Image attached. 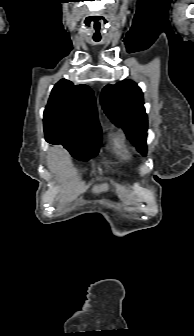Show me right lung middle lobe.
<instances>
[{"instance_id": "1", "label": "right lung middle lobe", "mask_w": 194, "mask_h": 336, "mask_svg": "<svg viewBox=\"0 0 194 336\" xmlns=\"http://www.w3.org/2000/svg\"><path fill=\"white\" fill-rule=\"evenodd\" d=\"M51 144H62L74 158L87 161L97 155L100 146V139L65 137L56 139Z\"/></svg>"}]
</instances>
